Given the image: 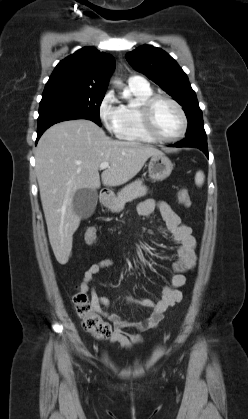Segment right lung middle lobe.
I'll use <instances>...</instances> for the list:
<instances>
[{
  "label": "right lung middle lobe",
  "instance_id": "1",
  "mask_svg": "<svg viewBox=\"0 0 248 419\" xmlns=\"http://www.w3.org/2000/svg\"><path fill=\"white\" fill-rule=\"evenodd\" d=\"M104 94L105 92L82 88H45L40 102L39 118L59 113H78L101 126L99 108Z\"/></svg>",
  "mask_w": 248,
  "mask_h": 419
}]
</instances>
